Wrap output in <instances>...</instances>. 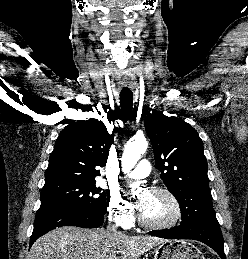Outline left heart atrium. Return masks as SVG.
I'll return each instance as SVG.
<instances>
[{
	"mask_svg": "<svg viewBox=\"0 0 248 259\" xmlns=\"http://www.w3.org/2000/svg\"><path fill=\"white\" fill-rule=\"evenodd\" d=\"M146 198H147V195L144 194V195L140 198V200H139V202H138V204H137V207L139 208L140 211H141L142 208L144 207Z\"/></svg>",
	"mask_w": 248,
	"mask_h": 259,
	"instance_id": "left-heart-atrium-1",
	"label": "left heart atrium"
}]
</instances>
